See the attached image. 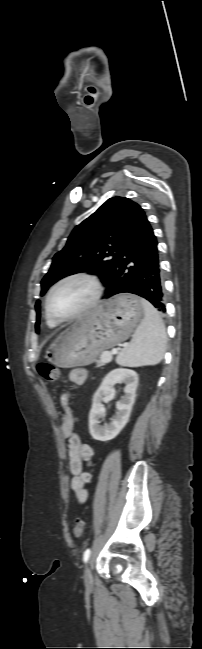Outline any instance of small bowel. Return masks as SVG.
I'll return each mask as SVG.
<instances>
[{"label":"small bowel","instance_id":"small-bowel-1","mask_svg":"<svg viewBox=\"0 0 202 649\" xmlns=\"http://www.w3.org/2000/svg\"><path fill=\"white\" fill-rule=\"evenodd\" d=\"M69 378L73 384L81 385L87 378V371L84 368H75L70 372ZM61 402L63 406L61 435L67 440L66 455L68 458V468L73 476L71 487L78 501L83 503L87 499L85 486L92 480L91 471L82 472L83 463L87 461L88 466H91L93 452L88 445L82 443L79 435L74 432V410L68 404V397L63 395Z\"/></svg>","mask_w":202,"mask_h":649}]
</instances>
